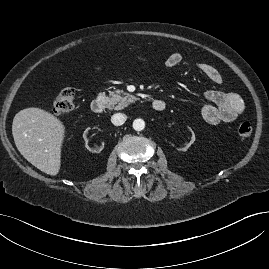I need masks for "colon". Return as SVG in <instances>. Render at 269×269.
I'll return each instance as SVG.
<instances>
[{
  "mask_svg": "<svg viewBox=\"0 0 269 269\" xmlns=\"http://www.w3.org/2000/svg\"><path fill=\"white\" fill-rule=\"evenodd\" d=\"M75 107V92L70 87L61 89L55 96L53 102V110L57 115H68ZM253 131L252 124L244 121L239 125L238 134L242 139H247Z\"/></svg>",
  "mask_w": 269,
  "mask_h": 269,
  "instance_id": "colon-1",
  "label": "colon"
}]
</instances>
